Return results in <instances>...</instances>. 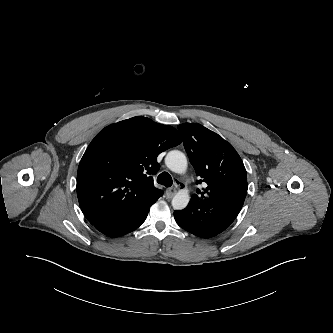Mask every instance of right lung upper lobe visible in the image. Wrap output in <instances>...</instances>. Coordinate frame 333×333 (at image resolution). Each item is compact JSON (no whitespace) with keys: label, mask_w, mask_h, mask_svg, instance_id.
Segmentation results:
<instances>
[{"label":"right lung upper lobe","mask_w":333,"mask_h":333,"mask_svg":"<svg viewBox=\"0 0 333 333\" xmlns=\"http://www.w3.org/2000/svg\"><path fill=\"white\" fill-rule=\"evenodd\" d=\"M171 126L133 117L105 127L89 144L77 172V195L89 222L143 211L162 195L153 185L157 156L181 143Z\"/></svg>","instance_id":"right-lung-upper-lobe-1"}]
</instances>
